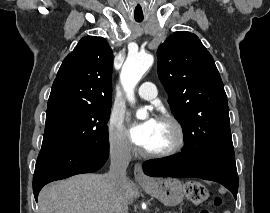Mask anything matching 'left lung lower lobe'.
Returning a JSON list of instances; mask_svg holds the SVG:
<instances>
[{"mask_svg": "<svg viewBox=\"0 0 270 213\" xmlns=\"http://www.w3.org/2000/svg\"><path fill=\"white\" fill-rule=\"evenodd\" d=\"M181 154L149 160L144 173L154 177H196L218 182L229 189L236 199L238 174L234 150L205 154L185 142Z\"/></svg>", "mask_w": 270, "mask_h": 213, "instance_id": "0a47b994", "label": "left lung lower lobe"}]
</instances>
